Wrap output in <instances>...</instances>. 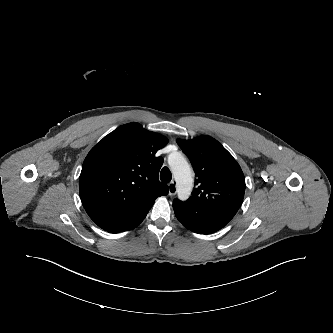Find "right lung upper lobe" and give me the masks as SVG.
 <instances>
[{
  "mask_svg": "<svg viewBox=\"0 0 333 333\" xmlns=\"http://www.w3.org/2000/svg\"><path fill=\"white\" fill-rule=\"evenodd\" d=\"M167 143L163 135L128 123L91 149L79 192L87 214L100 228H127L145 218L157 197L168 194V186L158 180L163 158L155 155Z\"/></svg>",
  "mask_w": 333,
  "mask_h": 333,
  "instance_id": "1",
  "label": "right lung upper lobe"
}]
</instances>
